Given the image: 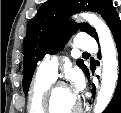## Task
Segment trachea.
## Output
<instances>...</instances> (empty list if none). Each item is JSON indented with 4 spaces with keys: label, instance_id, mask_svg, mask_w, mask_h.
<instances>
[{
    "label": "trachea",
    "instance_id": "1",
    "mask_svg": "<svg viewBox=\"0 0 121 113\" xmlns=\"http://www.w3.org/2000/svg\"><path fill=\"white\" fill-rule=\"evenodd\" d=\"M83 54H84V55H89V53H86V52H84Z\"/></svg>",
    "mask_w": 121,
    "mask_h": 113
}]
</instances>
